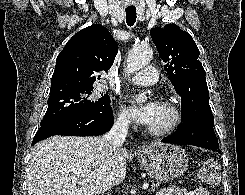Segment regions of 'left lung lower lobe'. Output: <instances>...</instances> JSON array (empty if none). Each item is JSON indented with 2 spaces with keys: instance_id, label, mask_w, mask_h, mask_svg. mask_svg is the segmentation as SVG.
Segmentation results:
<instances>
[{
  "instance_id": "0a47b994",
  "label": "left lung lower lobe",
  "mask_w": 245,
  "mask_h": 195,
  "mask_svg": "<svg viewBox=\"0 0 245 195\" xmlns=\"http://www.w3.org/2000/svg\"><path fill=\"white\" fill-rule=\"evenodd\" d=\"M213 127L214 124L201 120L184 121L174 134L161 142L194 145L221 153Z\"/></svg>"
}]
</instances>
